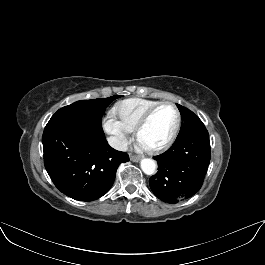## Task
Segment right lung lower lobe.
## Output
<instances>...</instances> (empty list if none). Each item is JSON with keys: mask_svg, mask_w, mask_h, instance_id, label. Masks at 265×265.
I'll use <instances>...</instances> for the list:
<instances>
[{"mask_svg": "<svg viewBox=\"0 0 265 265\" xmlns=\"http://www.w3.org/2000/svg\"><path fill=\"white\" fill-rule=\"evenodd\" d=\"M44 165L54 185L80 201L100 198L111 188L127 153L110 147L101 124L75 118H51L42 137Z\"/></svg>", "mask_w": 265, "mask_h": 265, "instance_id": "98d812e1", "label": "right lung lower lobe"}]
</instances>
